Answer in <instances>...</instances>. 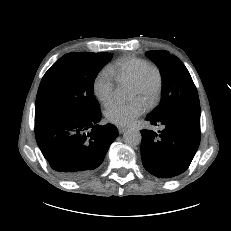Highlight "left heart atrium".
Instances as JSON below:
<instances>
[{
  "label": "left heart atrium",
  "mask_w": 231,
  "mask_h": 231,
  "mask_svg": "<svg viewBox=\"0 0 231 231\" xmlns=\"http://www.w3.org/2000/svg\"><path fill=\"white\" fill-rule=\"evenodd\" d=\"M145 110V105L140 99L128 103L112 102L108 105L105 114L107 119L116 125H130Z\"/></svg>",
  "instance_id": "left-heart-atrium-1"
}]
</instances>
